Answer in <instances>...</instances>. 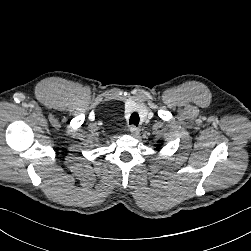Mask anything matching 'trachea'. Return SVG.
<instances>
[{
    "label": "trachea",
    "mask_w": 251,
    "mask_h": 251,
    "mask_svg": "<svg viewBox=\"0 0 251 251\" xmlns=\"http://www.w3.org/2000/svg\"><path fill=\"white\" fill-rule=\"evenodd\" d=\"M139 120H140L139 115L137 113H132L129 121H130V124L138 126Z\"/></svg>",
    "instance_id": "obj_1"
}]
</instances>
